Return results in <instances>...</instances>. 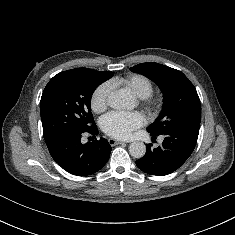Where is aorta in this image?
Masks as SVG:
<instances>
[{"mask_svg":"<svg viewBox=\"0 0 235 235\" xmlns=\"http://www.w3.org/2000/svg\"><path fill=\"white\" fill-rule=\"evenodd\" d=\"M108 104L113 109L124 110L130 107V99L127 94L116 92L109 96ZM129 153L132 157L140 159L146 153V145L140 141L132 142L129 146Z\"/></svg>","mask_w":235,"mask_h":235,"instance_id":"1","label":"aorta"}]
</instances>
